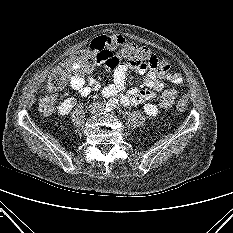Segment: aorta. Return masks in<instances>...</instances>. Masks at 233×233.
Wrapping results in <instances>:
<instances>
[{"instance_id":"aorta-1","label":"aorta","mask_w":233,"mask_h":233,"mask_svg":"<svg viewBox=\"0 0 233 233\" xmlns=\"http://www.w3.org/2000/svg\"><path fill=\"white\" fill-rule=\"evenodd\" d=\"M108 107L113 108L116 106V100L110 99L107 103Z\"/></svg>"}]
</instances>
